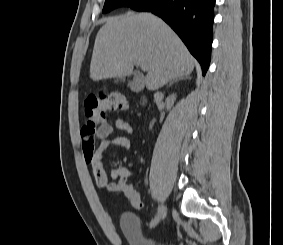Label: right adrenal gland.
Returning <instances> with one entry per match:
<instances>
[{
    "instance_id": "2a0ac1e0",
    "label": "right adrenal gland",
    "mask_w": 283,
    "mask_h": 245,
    "mask_svg": "<svg viewBox=\"0 0 283 245\" xmlns=\"http://www.w3.org/2000/svg\"><path fill=\"white\" fill-rule=\"evenodd\" d=\"M188 77H178V78H175V79H173V80H171L170 82H169V84L167 85V87H169V86H171L174 82H178V81H180V80H183V79H187Z\"/></svg>"
}]
</instances>
